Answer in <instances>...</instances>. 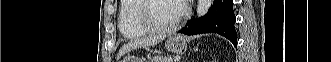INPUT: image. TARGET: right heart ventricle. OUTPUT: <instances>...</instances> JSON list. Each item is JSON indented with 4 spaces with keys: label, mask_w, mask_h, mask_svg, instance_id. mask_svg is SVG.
I'll list each match as a JSON object with an SVG mask.
<instances>
[{
    "label": "right heart ventricle",
    "mask_w": 331,
    "mask_h": 62,
    "mask_svg": "<svg viewBox=\"0 0 331 62\" xmlns=\"http://www.w3.org/2000/svg\"><path fill=\"white\" fill-rule=\"evenodd\" d=\"M139 0H121L119 4L118 27L126 39H137L147 34L136 20Z\"/></svg>",
    "instance_id": "1"
}]
</instances>
